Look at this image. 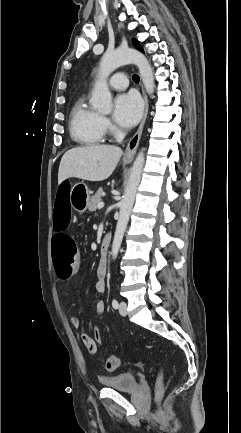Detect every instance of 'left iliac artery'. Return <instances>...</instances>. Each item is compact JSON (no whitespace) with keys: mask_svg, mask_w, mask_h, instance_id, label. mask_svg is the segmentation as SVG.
<instances>
[{"mask_svg":"<svg viewBox=\"0 0 241 433\" xmlns=\"http://www.w3.org/2000/svg\"><path fill=\"white\" fill-rule=\"evenodd\" d=\"M118 306H119L118 301H117L116 299H113V300H112V307H113L114 309H117Z\"/></svg>","mask_w":241,"mask_h":433,"instance_id":"left-iliac-artery-1","label":"left iliac artery"}]
</instances>
